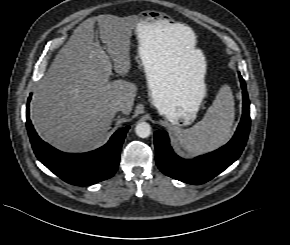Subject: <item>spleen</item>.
Instances as JSON below:
<instances>
[{
    "instance_id": "spleen-1",
    "label": "spleen",
    "mask_w": 290,
    "mask_h": 245,
    "mask_svg": "<svg viewBox=\"0 0 290 245\" xmlns=\"http://www.w3.org/2000/svg\"><path fill=\"white\" fill-rule=\"evenodd\" d=\"M234 116L233 94L230 87L224 85L203 119L189 129L174 127V135L186 152L206 153L229 140Z\"/></svg>"
}]
</instances>
